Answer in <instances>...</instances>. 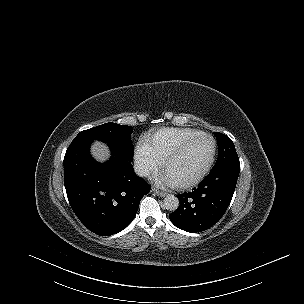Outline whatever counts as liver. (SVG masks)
<instances>
[{
    "label": "liver",
    "instance_id": "liver-1",
    "mask_svg": "<svg viewBox=\"0 0 304 304\" xmlns=\"http://www.w3.org/2000/svg\"><path fill=\"white\" fill-rule=\"evenodd\" d=\"M92 156L100 162H105L111 156L109 147L101 142H94L91 147Z\"/></svg>",
    "mask_w": 304,
    "mask_h": 304
}]
</instances>
